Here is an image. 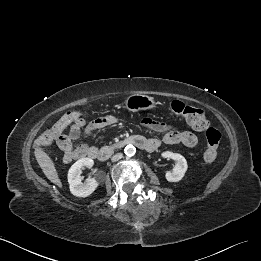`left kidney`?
I'll list each match as a JSON object with an SVG mask.
<instances>
[{
	"label": "left kidney",
	"mask_w": 261,
	"mask_h": 261,
	"mask_svg": "<svg viewBox=\"0 0 261 261\" xmlns=\"http://www.w3.org/2000/svg\"><path fill=\"white\" fill-rule=\"evenodd\" d=\"M162 156L164 158H171L176 161V165L173 168V171H167L165 174V177L167 181L169 182H178L180 181L187 171V161L186 159L181 155L177 153H172L169 151L163 152Z\"/></svg>",
	"instance_id": "left-kidney-1"
}]
</instances>
